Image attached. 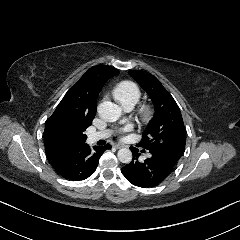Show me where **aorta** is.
Wrapping results in <instances>:
<instances>
[{"label":"aorta","mask_w":240,"mask_h":240,"mask_svg":"<svg viewBox=\"0 0 240 240\" xmlns=\"http://www.w3.org/2000/svg\"><path fill=\"white\" fill-rule=\"evenodd\" d=\"M97 112L104 121L115 122L121 117L122 109L115 103L105 101L98 105ZM117 156L122 163H130L132 160V152L128 148H121Z\"/></svg>","instance_id":"1"}]
</instances>
